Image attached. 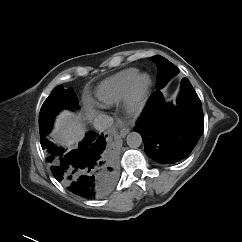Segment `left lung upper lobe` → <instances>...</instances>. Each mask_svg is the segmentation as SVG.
Wrapping results in <instances>:
<instances>
[{
  "label": "left lung upper lobe",
  "mask_w": 242,
  "mask_h": 242,
  "mask_svg": "<svg viewBox=\"0 0 242 242\" xmlns=\"http://www.w3.org/2000/svg\"><path fill=\"white\" fill-rule=\"evenodd\" d=\"M154 61L158 68L156 88L163 87L168 80L179 72V69L162 56H154L150 58Z\"/></svg>",
  "instance_id": "obj_1"
}]
</instances>
